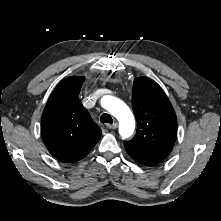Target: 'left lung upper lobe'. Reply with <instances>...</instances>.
Segmentation results:
<instances>
[{"mask_svg": "<svg viewBox=\"0 0 221 221\" xmlns=\"http://www.w3.org/2000/svg\"><path fill=\"white\" fill-rule=\"evenodd\" d=\"M132 107L137 119V133L124 142L127 153L136 162L155 166L171 152L177 136V118L162 90L152 79H134Z\"/></svg>", "mask_w": 221, "mask_h": 221, "instance_id": "left-lung-upper-lobe-1", "label": "left lung upper lobe"}]
</instances>
